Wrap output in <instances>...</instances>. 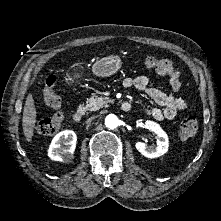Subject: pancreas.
Wrapping results in <instances>:
<instances>
[{"mask_svg":"<svg viewBox=\"0 0 221 221\" xmlns=\"http://www.w3.org/2000/svg\"><path fill=\"white\" fill-rule=\"evenodd\" d=\"M110 102L111 100L107 97H99L93 94L87 99L85 109L88 111H97L100 108L106 107Z\"/></svg>","mask_w":221,"mask_h":221,"instance_id":"1","label":"pancreas"}]
</instances>
